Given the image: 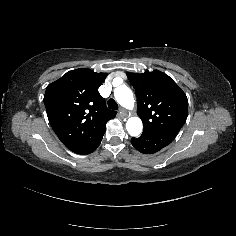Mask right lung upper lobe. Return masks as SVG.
Returning <instances> with one entry per match:
<instances>
[{"label": "right lung upper lobe", "mask_w": 236, "mask_h": 236, "mask_svg": "<svg viewBox=\"0 0 236 236\" xmlns=\"http://www.w3.org/2000/svg\"><path fill=\"white\" fill-rule=\"evenodd\" d=\"M107 73L81 68L49 84L44 104L49 122L60 141L72 149L105 132L116 112L106 107L97 92Z\"/></svg>", "instance_id": "1"}]
</instances>
